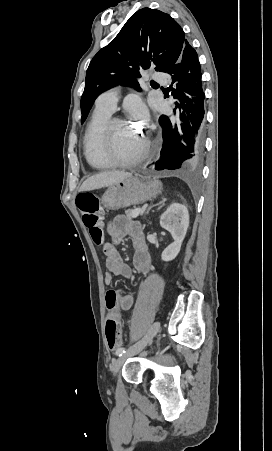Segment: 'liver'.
I'll list each match as a JSON object with an SVG mask.
<instances>
[{
  "label": "liver",
  "instance_id": "1",
  "mask_svg": "<svg viewBox=\"0 0 272 451\" xmlns=\"http://www.w3.org/2000/svg\"><path fill=\"white\" fill-rule=\"evenodd\" d=\"M130 176H132V174H129V172H117V170H113V172H101V174H95V176L87 178V180L83 182L79 192H87V190H98V188L112 186V184H117V182H121L124 178H130Z\"/></svg>",
  "mask_w": 272,
  "mask_h": 451
}]
</instances>
